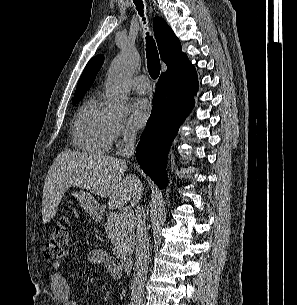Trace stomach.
Segmentation results:
<instances>
[{"label": "stomach", "mask_w": 297, "mask_h": 305, "mask_svg": "<svg viewBox=\"0 0 297 305\" xmlns=\"http://www.w3.org/2000/svg\"><path fill=\"white\" fill-rule=\"evenodd\" d=\"M71 195L79 201L80 205L85 209V211L93 220L100 221L102 219L103 210L91 193L84 190H73Z\"/></svg>", "instance_id": "stomach-1"}]
</instances>
